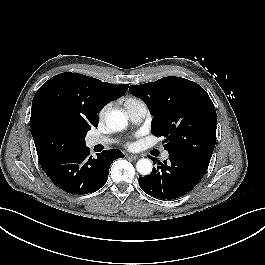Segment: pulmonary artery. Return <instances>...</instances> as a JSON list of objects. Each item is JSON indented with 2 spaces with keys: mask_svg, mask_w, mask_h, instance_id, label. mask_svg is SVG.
<instances>
[{
  "mask_svg": "<svg viewBox=\"0 0 265 265\" xmlns=\"http://www.w3.org/2000/svg\"><path fill=\"white\" fill-rule=\"evenodd\" d=\"M126 109L130 120L135 124L140 123L145 118L147 113V107L143 102L132 104L128 106ZM114 142L115 140L109 137L92 136L88 138L87 145L89 147H93L95 145H106V144H112ZM168 156H169L168 152L164 151L161 155V158L162 160H166Z\"/></svg>",
  "mask_w": 265,
  "mask_h": 265,
  "instance_id": "obj_1",
  "label": "pulmonary artery"
}]
</instances>
